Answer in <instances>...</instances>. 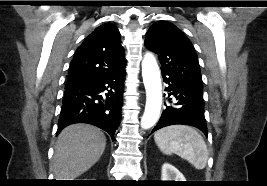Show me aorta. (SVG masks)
<instances>
[{
	"label": "aorta",
	"instance_id": "1",
	"mask_svg": "<svg viewBox=\"0 0 267 186\" xmlns=\"http://www.w3.org/2000/svg\"><path fill=\"white\" fill-rule=\"evenodd\" d=\"M142 76L146 89V106L141 119V127L149 129L157 122L162 105L160 71L151 53H146L142 61Z\"/></svg>",
	"mask_w": 267,
	"mask_h": 186
}]
</instances>
